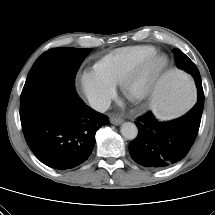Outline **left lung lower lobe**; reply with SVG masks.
Instances as JSON below:
<instances>
[{
	"mask_svg": "<svg viewBox=\"0 0 215 215\" xmlns=\"http://www.w3.org/2000/svg\"><path fill=\"white\" fill-rule=\"evenodd\" d=\"M204 106L203 88L198 89L196 105L179 119L160 122L151 111L136 120L138 136L129 144L138 164L161 169L182 160L198 134Z\"/></svg>",
	"mask_w": 215,
	"mask_h": 215,
	"instance_id": "1",
	"label": "left lung lower lobe"
}]
</instances>
